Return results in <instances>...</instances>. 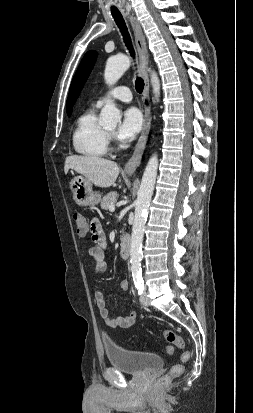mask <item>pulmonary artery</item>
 Segmentation results:
<instances>
[{
	"label": "pulmonary artery",
	"instance_id": "pulmonary-artery-1",
	"mask_svg": "<svg viewBox=\"0 0 253 413\" xmlns=\"http://www.w3.org/2000/svg\"><path fill=\"white\" fill-rule=\"evenodd\" d=\"M106 98H112L123 102H130L132 100V94L128 87L119 86L111 90L106 97L99 98L96 102V106L99 107L103 105Z\"/></svg>",
	"mask_w": 253,
	"mask_h": 413
}]
</instances>
